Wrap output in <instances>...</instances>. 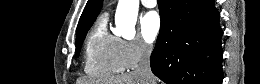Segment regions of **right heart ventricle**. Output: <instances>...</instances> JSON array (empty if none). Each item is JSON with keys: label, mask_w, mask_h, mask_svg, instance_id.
<instances>
[{"label": "right heart ventricle", "mask_w": 260, "mask_h": 84, "mask_svg": "<svg viewBox=\"0 0 260 84\" xmlns=\"http://www.w3.org/2000/svg\"><path fill=\"white\" fill-rule=\"evenodd\" d=\"M125 66L119 54V38L107 31V17L103 16L91 30L85 45L84 70L97 78L123 72Z\"/></svg>", "instance_id": "right-heart-ventricle-1"}]
</instances>
